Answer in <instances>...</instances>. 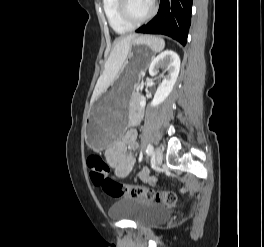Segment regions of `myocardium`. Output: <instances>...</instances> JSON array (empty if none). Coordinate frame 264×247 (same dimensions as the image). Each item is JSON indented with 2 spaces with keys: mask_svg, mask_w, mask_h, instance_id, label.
<instances>
[{
  "mask_svg": "<svg viewBox=\"0 0 264 247\" xmlns=\"http://www.w3.org/2000/svg\"><path fill=\"white\" fill-rule=\"evenodd\" d=\"M156 5L154 0H151V7L148 13L142 18H134L129 11V0H118V13L124 22L132 27L141 25L148 21L155 13Z\"/></svg>",
  "mask_w": 264,
  "mask_h": 247,
  "instance_id": "obj_1",
  "label": "myocardium"
}]
</instances>
